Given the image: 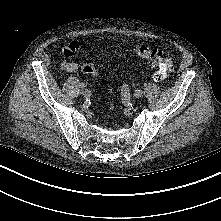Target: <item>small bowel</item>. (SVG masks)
Wrapping results in <instances>:
<instances>
[{"label": "small bowel", "instance_id": "obj_1", "mask_svg": "<svg viewBox=\"0 0 221 221\" xmlns=\"http://www.w3.org/2000/svg\"><path fill=\"white\" fill-rule=\"evenodd\" d=\"M80 49H81L80 43L73 41L63 46L62 52L66 58H69L74 53L78 52ZM61 66L66 72H75L80 68V65L78 63L70 62L68 60H64Z\"/></svg>", "mask_w": 221, "mask_h": 221}]
</instances>
